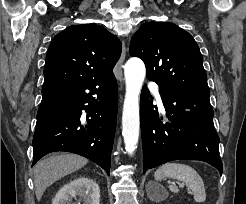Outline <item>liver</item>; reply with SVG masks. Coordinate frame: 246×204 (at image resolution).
Wrapping results in <instances>:
<instances>
[{
    "label": "liver",
    "instance_id": "1",
    "mask_svg": "<svg viewBox=\"0 0 246 204\" xmlns=\"http://www.w3.org/2000/svg\"><path fill=\"white\" fill-rule=\"evenodd\" d=\"M88 163L80 155L62 153L55 154L39 161L34 167V184L37 200H41L43 193L55 181L70 174Z\"/></svg>",
    "mask_w": 246,
    "mask_h": 204
}]
</instances>
